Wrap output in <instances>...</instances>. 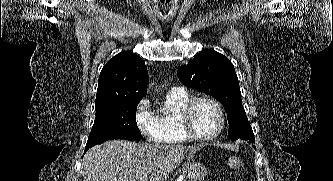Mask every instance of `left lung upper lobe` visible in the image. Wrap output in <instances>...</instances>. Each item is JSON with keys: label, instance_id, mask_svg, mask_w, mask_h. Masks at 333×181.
I'll use <instances>...</instances> for the list:
<instances>
[{"label": "left lung upper lobe", "instance_id": "5c2ea615", "mask_svg": "<svg viewBox=\"0 0 333 181\" xmlns=\"http://www.w3.org/2000/svg\"><path fill=\"white\" fill-rule=\"evenodd\" d=\"M179 80L187 87L216 98L226 109L231 140L247 138L255 142L252 128L242 106L238 78L231 61L224 55L204 50L178 69Z\"/></svg>", "mask_w": 333, "mask_h": 181}]
</instances>
